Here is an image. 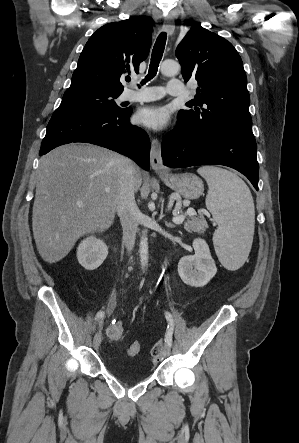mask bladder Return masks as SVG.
Returning <instances> with one entry per match:
<instances>
[{
	"label": "bladder",
	"mask_w": 299,
	"mask_h": 443,
	"mask_svg": "<svg viewBox=\"0 0 299 443\" xmlns=\"http://www.w3.org/2000/svg\"><path fill=\"white\" fill-rule=\"evenodd\" d=\"M108 370L114 376L129 384L141 382L148 377V372L141 367H131L127 370H122L110 364Z\"/></svg>",
	"instance_id": "bladder-1"
}]
</instances>
